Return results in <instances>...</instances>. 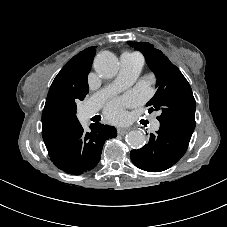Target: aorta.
Wrapping results in <instances>:
<instances>
[{"mask_svg": "<svg viewBox=\"0 0 227 227\" xmlns=\"http://www.w3.org/2000/svg\"><path fill=\"white\" fill-rule=\"evenodd\" d=\"M94 69L100 77H114L119 69L117 56L110 51L99 53L94 59ZM126 142L130 147L139 149L145 145L146 136L140 130H132L126 135Z\"/></svg>", "mask_w": 227, "mask_h": 227, "instance_id": "aorta-1", "label": "aorta"}]
</instances>
